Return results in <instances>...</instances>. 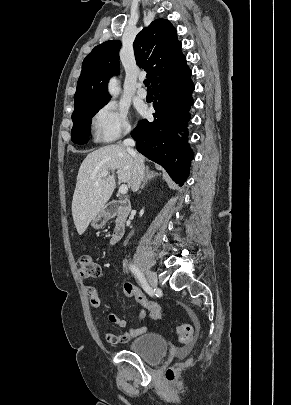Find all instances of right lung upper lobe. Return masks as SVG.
<instances>
[{"label": "right lung upper lobe", "instance_id": "1", "mask_svg": "<svg viewBox=\"0 0 291 405\" xmlns=\"http://www.w3.org/2000/svg\"><path fill=\"white\" fill-rule=\"evenodd\" d=\"M120 46L118 40L107 41L85 57L74 95L73 113L109 101L107 84L110 77L119 72ZM181 46L176 29L166 19H156L138 33L133 43L136 63L147 71L152 88L189 70Z\"/></svg>", "mask_w": 291, "mask_h": 405}]
</instances>
